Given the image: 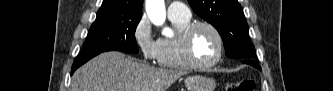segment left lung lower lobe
I'll return each mask as SVG.
<instances>
[{
  "label": "left lung lower lobe",
  "instance_id": "0a47b994",
  "mask_svg": "<svg viewBox=\"0 0 333 91\" xmlns=\"http://www.w3.org/2000/svg\"><path fill=\"white\" fill-rule=\"evenodd\" d=\"M243 62L246 64H249V65H252L261 70V68L258 66V64L256 62H253L252 59H244Z\"/></svg>",
  "mask_w": 333,
  "mask_h": 91
}]
</instances>
